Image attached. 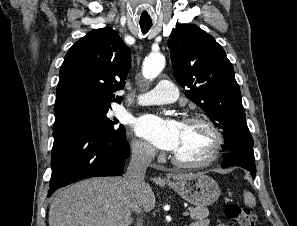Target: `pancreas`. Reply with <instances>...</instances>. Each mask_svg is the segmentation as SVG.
Returning a JSON list of instances; mask_svg holds the SVG:
<instances>
[{
  "label": "pancreas",
  "instance_id": "1",
  "mask_svg": "<svg viewBox=\"0 0 297 226\" xmlns=\"http://www.w3.org/2000/svg\"><path fill=\"white\" fill-rule=\"evenodd\" d=\"M189 216L193 220H202L209 216V210L204 207H189Z\"/></svg>",
  "mask_w": 297,
  "mask_h": 226
}]
</instances>
